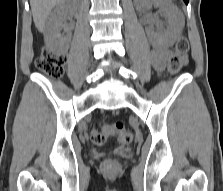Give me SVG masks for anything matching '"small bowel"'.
I'll return each mask as SVG.
<instances>
[{"label": "small bowel", "mask_w": 223, "mask_h": 191, "mask_svg": "<svg viewBox=\"0 0 223 191\" xmlns=\"http://www.w3.org/2000/svg\"><path fill=\"white\" fill-rule=\"evenodd\" d=\"M171 52L166 48H155L150 53V63L157 71H162L165 68L166 62ZM186 61V59L184 60Z\"/></svg>", "instance_id": "c3829d8e"}]
</instances>
